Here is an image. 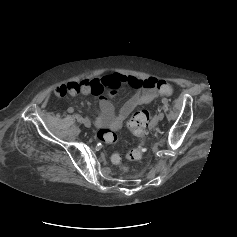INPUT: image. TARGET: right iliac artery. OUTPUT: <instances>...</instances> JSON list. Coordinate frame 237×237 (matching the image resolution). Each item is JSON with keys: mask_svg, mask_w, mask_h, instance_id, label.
<instances>
[{"mask_svg": "<svg viewBox=\"0 0 237 237\" xmlns=\"http://www.w3.org/2000/svg\"><path fill=\"white\" fill-rule=\"evenodd\" d=\"M69 113H73L74 112V109L72 107H69L68 110H67Z\"/></svg>", "mask_w": 237, "mask_h": 237, "instance_id": "1", "label": "right iliac artery"}]
</instances>
